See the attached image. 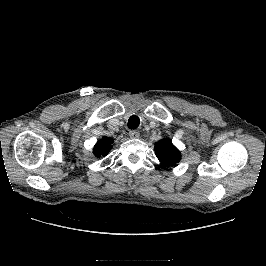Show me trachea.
Returning a JSON list of instances; mask_svg holds the SVG:
<instances>
[{
  "label": "trachea",
  "mask_w": 266,
  "mask_h": 266,
  "mask_svg": "<svg viewBox=\"0 0 266 266\" xmlns=\"http://www.w3.org/2000/svg\"><path fill=\"white\" fill-rule=\"evenodd\" d=\"M140 124V119L136 115H132L128 120V128L129 129H136Z\"/></svg>",
  "instance_id": "trachea-1"
}]
</instances>
